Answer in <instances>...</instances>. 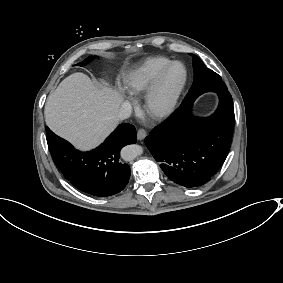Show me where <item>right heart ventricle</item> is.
I'll return each instance as SVG.
<instances>
[{"instance_id": "right-heart-ventricle-1", "label": "right heart ventricle", "mask_w": 283, "mask_h": 283, "mask_svg": "<svg viewBox=\"0 0 283 283\" xmlns=\"http://www.w3.org/2000/svg\"><path fill=\"white\" fill-rule=\"evenodd\" d=\"M172 60L165 56L147 58L123 75V89L133 98L144 95L154 76Z\"/></svg>"}]
</instances>
